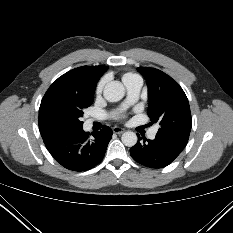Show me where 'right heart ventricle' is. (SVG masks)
<instances>
[{"label": "right heart ventricle", "mask_w": 233, "mask_h": 233, "mask_svg": "<svg viewBox=\"0 0 233 233\" xmlns=\"http://www.w3.org/2000/svg\"><path fill=\"white\" fill-rule=\"evenodd\" d=\"M134 77H137V75L133 73H125L122 79H123V82L126 83L127 81L131 80Z\"/></svg>", "instance_id": "1"}]
</instances>
